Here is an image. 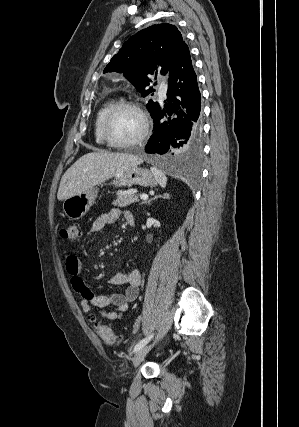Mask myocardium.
<instances>
[{
    "mask_svg": "<svg viewBox=\"0 0 299 427\" xmlns=\"http://www.w3.org/2000/svg\"><path fill=\"white\" fill-rule=\"evenodd\" d=\"M121 109L134 110L136 113H138V115L142 120V130L140 134L133 140L127 141V142L116 141L112 137L110 132V125H111L112 118ZM149 130H150V122L146 112L137 102H134V101H120L115 103L105 115V118L102 124V135L105 142L108 144V146H111L113 148H119V149L131 148L133 146L140 144L148 136Z\"/></svg>",
    "mask_w": 299,
    "mask_h": 427,
    "instance_id": "obj_1",
    "label": "myocardium"
}]
</instances>
